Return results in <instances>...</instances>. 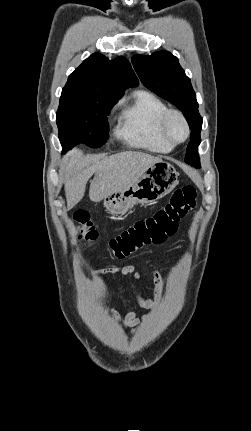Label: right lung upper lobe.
Segmentation results:
<instances>
[{
  "instance_id": "obj_1",
  "label": "right lung upper lobe",
  "mask_w": 251,
  "mask_h": 431,
  "mask_svg": "<svg viewBox=\"0 0 251 431\" xmlns=\"http://www.w3.org/2000/svg\"><path fill=\"white\" fill-rule=\"evenodd\" d=\"M138 83L125 57L119 56L109 60L102 54L94 53L70 74L65 87L121 98L125 89Z\"/></svg>"
}]
</instances>
